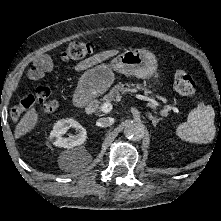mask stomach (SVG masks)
<instances>
[{
    "mask_svg": "<svg viewBox=\"0 0 221 221\" xmlns=\"http://www.w3.org/2000/svg\"><path fill=\"white\" fill-rule=\"evenodd\" d=\"M155 55L146 49H130L114 58L110 64L96 65L85 71L76 88V95L88 102L102 95L114 81L116 71L137 78H151L157 70Z\"/></svg>",
    "mask_w": 221,
    "mask_h": 221,
    "instance_id": "stomach-1",
    "label": "stomach"
}]
</instances>
